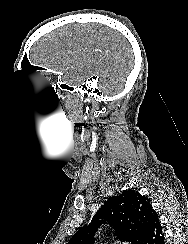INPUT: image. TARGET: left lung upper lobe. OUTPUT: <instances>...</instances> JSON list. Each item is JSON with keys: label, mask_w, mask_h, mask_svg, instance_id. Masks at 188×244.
<instances>
[{"label": "left lung upper lobe", "mask_w": 188, "mask_h": 244, "mask_svg": "<svg viewBox=\"0 0 188 244\" xmlns=\"http://www.w3.org/2000/svg\"><path fill=\"white\" fill-rule=\"evenodd\" d=\"M155 213L150 199L132 190L110 198L101 206L89 225L80 228L67 244H93L101 224H109L117 238L142 244L150 218Z\"/></svg>", "instance_id": "left-lung-upper-lobe-1"}]
</instances>
